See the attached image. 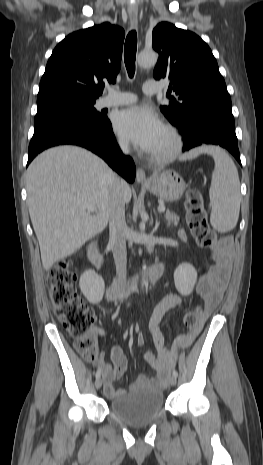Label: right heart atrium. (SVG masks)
Returning a JSON list of instances; mask_svg holds the SVG:
<instances>
[{
    "instance_id": "right-heart-atrium-1",
    "label": "right heart atrium",
    "mask_w": 263,
    "mask_h": 465,
    "mask_svg": "<svg viewBox=\"0 0 263 465\" xmlns=\"http://www.w3.org/2000/svg\"><path fill=\"white\" fill-rule=\"evenodd\" d=\"M117 145L119 149L123 152H126L128 150V143L126 142V140L122 138H118Z\"/></svg>"
}]
</instances>
